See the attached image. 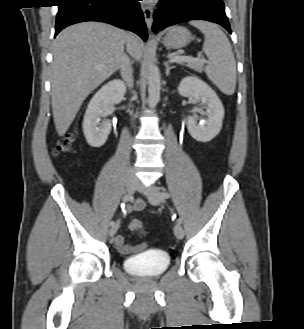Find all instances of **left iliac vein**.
Listing matches in <instances>:
<instances>
[{"mask_svg":"<svg viewBox=\"0 0 304 329\" xmlns=\"http://www.w3.org/2000/svg\"><path fill=\"white\" fill-rule=\"evenodd\" d=\"M137 188L141 192L145 191L141 184H139ZM146 196L149 202L154 206H158L163 200V198L161 197L160 189L156 186H151L146 191ZM174 234L178 239H182L184 237V229L180 224L175 225Z\"/></svg>","mask_w":304,"mask_h":329,"instance_id":"4c4485c4","label":"left iliac vein"}]
</instances>
